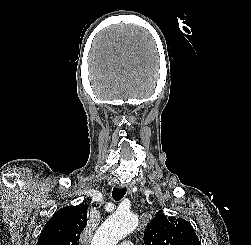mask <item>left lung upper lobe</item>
I'll return each instance as SVG.
<instances>
[{"instance_id":"left-lung-upper-lobe-1","label":"left lung upper lobe","mask_w":251,"mask_h":245,"mask_svg":"<svg viewBox=\"0 0 251 245\" xmlns=\"http://www.w3.org/2000/svg\"><path fill=\"white\" fill-rule=\"evenodd\" d=\"M145 245H201L193 227L184 219L157 212L144 232Z\"/></svg>"}]
</instances>
